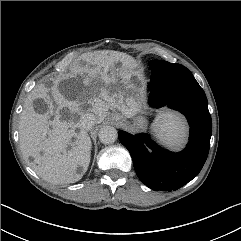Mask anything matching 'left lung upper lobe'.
I'll use <instances>...</instances> for the list:
<instances>
[{"label": "left lung upper lobe", "instance_id": "left-lung-upper-lobe-1", "mask_svg": "<svg viewBox=\"0 0 241 241\" xmlns=\"http://www.w3.org/2000/svg\"><path fill=\"white\" fill-rule=\"evenodd\" d=\"M149 67L151 70L161 72L166 77L171 92H177L184 87L197 83L192 73L180 64L154 60L150 62Z\"/></svg>", "mask_w": 241, "mask_h": 241}]
</instances>
